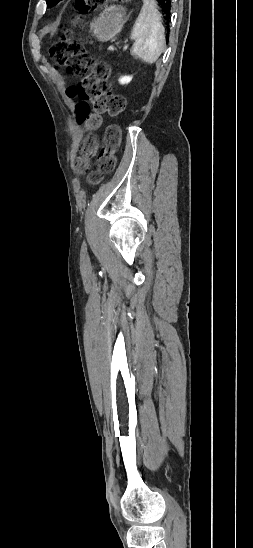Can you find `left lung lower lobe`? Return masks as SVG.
Listing matches in <instances>:
<instances>
[{"label": "left lung lower lobe", "instance_id": "0a47b994", "mask_svg": "<svg viewBox=\"0 0 253 548\" xmlns=\"http://www.w3.org/2000/svg\"><path fill=\"white\" fill-rule=\"evenodd\" d=\"M158 5L162 8V11L166 17L170 18L171 0H157Z\"/></svg>", "mask_w": 253, "mask_h": 548}]
</instances>
